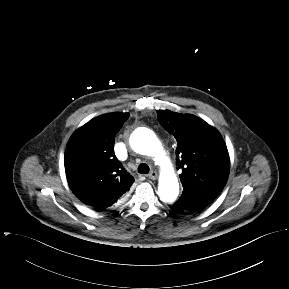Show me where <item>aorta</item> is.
<instances>
[{"instance_id": "762f6f07", "label": "aorta", "mask_w": 289, "mask_h": 289, "mask_svg": "<svg viewBox=\"0 0 289 289\" xmlns=\"http://www.w3.org/2000/svg\"><path fill=\"white\" fill-rule=\"evenodd\" d=\"M131 148L142 155L154 157L161 169L158 195L163 202L172 203L179 194V183L170 159L164 155L162 144L148 129L134 132L130 137Z\"/></svg>"}]
</instances>
